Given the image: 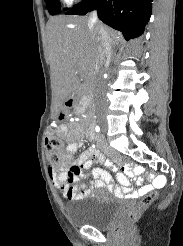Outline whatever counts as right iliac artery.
I'll list each match as a JSON object with an SVG mask.
<instances>
[{
  "label": "right iliac artery",
  "mask_w": 183,
  "mask_h": 246,
  "mask_svg": "<svg viewBox=\"0 0 183 246\" xmlns=\"http://www.w3.org/2000/svg\"><path fill=\"white\" fill-rule=\"evenodd\" d=\"M95 130H96V132H99L100 131V127L99 126H96L95 127Z\"/></svg>",
  "instance_id": "right-iliac-artery-1"
}]
</instances>
